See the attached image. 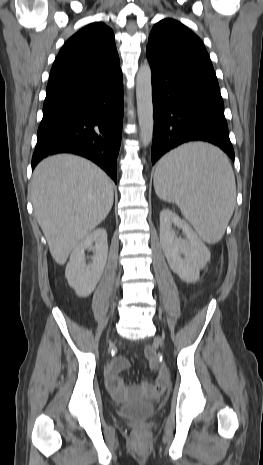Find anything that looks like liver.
I'll list each match as a JSON object with an SVG mask.
<instances>
[{
	"mask_svg": "<svg viewBox=\"0 0 263 465\" xmlns=\"http://www.w3.org/2000/svg\"><path fill=\"white\" fill-rule=\"evenodd\" d=\"M31 196L51 256L63 265L80 241L107 217L114 194L111 179L94 163L58 154L35 168Z\"/></svg>",
	"mask_w": 263,
	"mask_h": 465,
	"instance_id": "6515ba94",
	"label": "liver"
}]
</instances>
